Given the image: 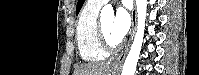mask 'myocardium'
I'll return each instance as SVG.
<instances>
[{"label": "myocardium", "instance_id": "f54148a6", "mask_svg": "<svg viewBox=\"0 0 199 75\" xmlns=\"http://www.w3.org/2000/svg\"><path fill=\"white\" fill-rule=\"evenodd\" d=\"M96 34L99 41V44L106 52H115L121 47V42L111 44L103 31L102 21L98 20L97 27H96Z\"/></svg>", "mask_w": 199, "mask_h": 75}]
</instances>
